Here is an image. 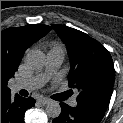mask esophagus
Returning a JSON list of instances; mask_svg holds the SVG:
<instances>
[{"label": "esophagus", "mask_w": 123, "mask_h": 123, "mask_svg": "<svg viewBox=\"0 0 123 123\" xmlns=\"http://www.w3.org/2000/svg\"><path fill=\"white\" fill-rule=\"evenodd\" d=\"M38 101L43 105L50 103V100L48 98H40Z\"/></svg>", "instance_id": "esophagus-1"}]
</instances>
